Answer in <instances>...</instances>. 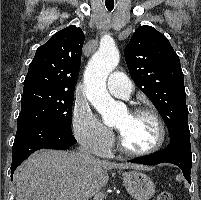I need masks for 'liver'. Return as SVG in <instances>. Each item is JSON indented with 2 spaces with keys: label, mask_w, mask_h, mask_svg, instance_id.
I'll return each instance as SVG.
<instances>
[{
  "label": "liver",
  "mask_w": 201,
  "mask_h": 200,
  "mask_svg": "<svg viewBox=\"0 0 201 200\" xmlns=\"http://www.w3.org/2000/svg\"><path fill=\"white\" fill-rule=\"evenodd\" d=\"M145 169L131 163L83 158L79 152L40 150L16 171V200H89L108 182L107 170Z\"/></svg>",
  "instance_id": "obj_1"
}]
</instances>
